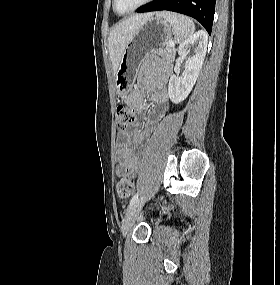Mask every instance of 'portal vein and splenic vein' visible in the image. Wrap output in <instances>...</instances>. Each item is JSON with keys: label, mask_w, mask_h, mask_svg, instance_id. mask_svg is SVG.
<instances>
[{"label": "portal vein and splenic vein", "mask_w": 280, "mask_h": 285, "mask_svg": "<svg viewBox=\"0 0 280 285\" xmlns=\"http://www.w3.org/2000/svg\"><path fill=\"white\" fill-rule=\"evenodd\" d=\"M167 46L174 47V46H175V43L170 40V41L167 43Z\"/></svg>", "instance_id": "obj_1"}]
</instances>
